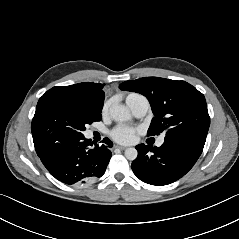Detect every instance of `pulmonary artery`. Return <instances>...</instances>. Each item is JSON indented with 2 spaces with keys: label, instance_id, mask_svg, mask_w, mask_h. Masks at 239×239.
<instances>
[{
  "label": "pulmonary artery",
  "instance_id": "obj_1",
  "mask_svg": "<svg viewBox=\"0 0 239 239\" xmlns=\"http://www.w3.org/2000/svg\"><path fill=\"white\" fill-rule=\"evenodd\" d=\"M128 106L132 110L136 117H144L149 111V101L142 95L133 97L127 102ZM164 143V137H160L157 141V146H161Z\"/></svg>",
  "mask_w": 239,
  "mask_h": 239
}]
</instances>
